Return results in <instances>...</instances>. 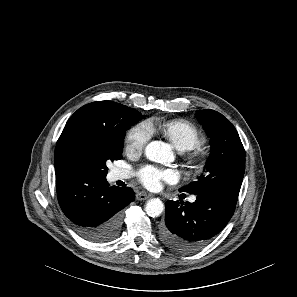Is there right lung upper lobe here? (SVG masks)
Returning a JSON list of instances; mask_svg holds the SVG:
<instances>
[{"label": "right lung upper lobe", "instance_id": "obj_1", "mask_svg": "<svg viewBox=\"0 0 297 297\" xmlns=\"http://www.w3.org/2000/svg\"><path fill=\"white\" fill-rule=\"evenodd\" d=\"M123 105L112 101L89 103L78 109L67 121L55 148L56 177L74 173L71 151L81 138H117L124 127L121 118Z\"/></svg>", "mask_w": 297, "mask_h": 297}]
</instances>
